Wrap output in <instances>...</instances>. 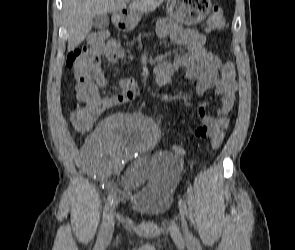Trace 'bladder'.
Returning <instances> with one entry per match:
<instances>
[{
	"mask_svg": "<svg viewBox=\"0 0 295 250\" xmlns=\"http://www.w3.org/2000/svg\"><path fill=\"white\" fill-rule=\"evenodd\" d=\"M151 180L134 190L130 208L146 217L155 218L165 214L171 207L178 176L181 172L180 158L168 151H160L151 159Z\"/></svg>",
	"mask_w": 295,
	"mask_h": 250,
	"instance_id": "bladder-1",
	"label": "bladder"
}]
</instances>
